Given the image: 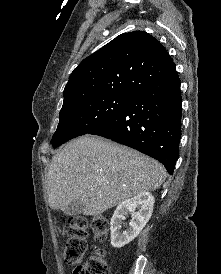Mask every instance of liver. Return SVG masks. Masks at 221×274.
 <instances>
[{
	"mask_svg": "<svg viewBox=\"0 0 221 274\" xmlns=\"http://www.w3.org/2000/svg\"><path fill=\"white\" fill-rule=\"evenodd\" d=\"M166 171L158 161L126 146L85 135L53 156L46 175L51 209L80 199L84 215L97 216L141 192L158 189Z\"/></svg>",
	"mask_w": 221,
	"mask_h": 274,
	"instance_id": "1",
	"label": "liver"
}]
</instances>
